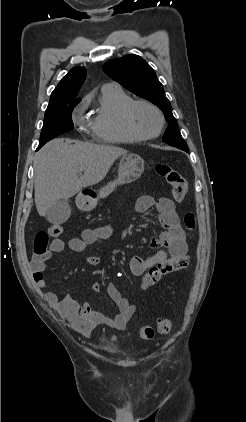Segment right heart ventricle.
Returning a JSON list of instances; mask_svg holds the SVG:
<instances>
[{
	"mask_svg": "<svg viewBox=\"0 0 246 422\" xmlns=\"http://www.w3.org/2000/svg\"><path fill=\"white\" fill-rule=\"evenodd\" d=\"M133 101L125 91L113 85L104 86L99 96V106L92 118L95 138L105 143H133L138 139L125 128L122 111Z\"/></svg>",
	"mask_w": 246,
	"mask_h": 422,
	"instance_id": "1",
	"label": "right heart ventricle"
}]
</instances>
